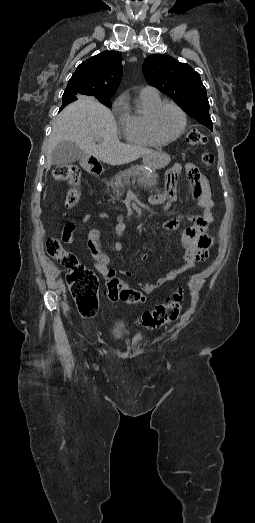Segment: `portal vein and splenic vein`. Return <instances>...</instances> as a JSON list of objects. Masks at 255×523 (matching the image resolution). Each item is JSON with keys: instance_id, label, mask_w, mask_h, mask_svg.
<instances>
[{"instance_id": "portal-vein-and-splenic-vein-1", "label": "portal vein and splenic vein", "mask_w": 255, "mask_h": 523, "mask_svg": "<svg viewBox=\"0 0 255 523\" xmlns=\"http://www.w3.org/2000/svg\"><path fill=\"white\" fill-rule=\"evenodd\" d=\"M127 189H130V186H127ZM134 192L132 190L127 191V196L132 197Z\"/></svg>"}]
</instances>
